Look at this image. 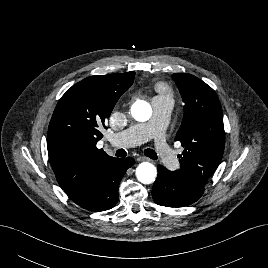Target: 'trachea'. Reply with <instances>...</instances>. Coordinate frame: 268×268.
<instances>
[{"mask_svg":"<svg viewBox=\"0 0 268 268\" xmlns=\"http://www.w3.org/2000/svg\"><path fill=\"white\" fill-rule=\"evenodd\" d=\"M144 154L147 156V157H149V158H151V159H153V160H156L157 159V154L155 153V151L154 150H152V149H146L145 151H144ZM116 155L117 156H126V151L124 150V149H119V150H117V152H116Z\"/></svg>","mask_w":268,"mask_h":268,"instance_id":"3493384b","label":"trachea"}]
</instances>
